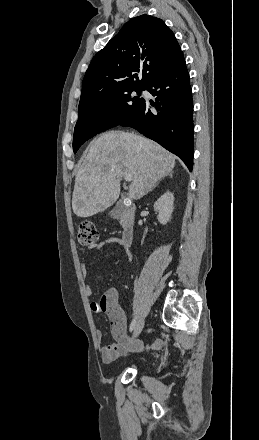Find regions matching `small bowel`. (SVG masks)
Instances as JSON below:
<instances>
[{
  "label": "small bowel",
  "instance_id": "c3829d8e",
  "mask_svg": "<svg viewBox=\"0 0 259 440\" xmlns=\"http://www.w3.org/2000/svg\"><path fill=\"white\" fill-rule=\"evenodd\" d=\"M116 245L126 250L128 257L130 258V252L128 245L124 243L120 237H107L99 241L98 243L89 247V250H99L107 245ZM82 278L85 285V293L87 296H91L92 289L88 282V273L85 264V260L82 259ZM90 309L93 313H105L110 321L111 333L114 338V342L101 348V357L105 362H111L127 352L129 349L139 350L143 348V343L137 341L132 343L127 335L126 317L117 302V294L115 291H109L106 293L100 301H93L90 303ZM96 337L98 341L102 340V332L97 330ZM163 345L162 340H156L150 348L159 349Z\"/></svg>",
  "mask_w": 259,
  "mask_h": 440
}]
</instances>
